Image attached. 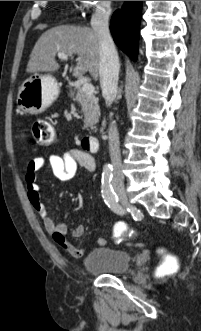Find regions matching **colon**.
<instances>
[{
    "label": "colon",
    "mask_w": 201,
    "mask_h": 331,
    "mask_svg": "<svg viewBox=\"0 0 201 331\" xmlns=\"http://www.w3.org/2000/svg\"><path fill=\"white\" fill-rule=\"evenodd\" d=\"M31 133L34 142L39 146H48L55 142L56 131L50 121L46 119H37L33 122ZM133 231L130 227L123 223L118 222L114 226V236L118 239L130 237ZM177 269V262L173 257H166L157 270L159 276H168L174 273Z\"/></svg>",
    "instance_id": "5ec220e1"
}]
</instances>
